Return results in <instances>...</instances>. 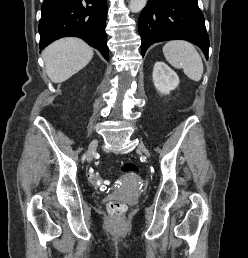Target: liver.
Returning a JSON list of instances; mask_svg holds the SVG:
<instances>
[{
    "label": "liver",
    "instance_id": "1",
    "mask_svg": "<svg viewBox=\"0 0 248 258\" xmlns=\"http://www.w3.org/2000/svg\"><path fill=\"white\" fill-rule=\"evenodd\" d=\"M93 54V49L82 40L64 38L45 48L42 57L50 80L61 83L83 69Z\"/></svg>",
    "mask_w": 248,
    "mask_h": 258
}]
</instances>
